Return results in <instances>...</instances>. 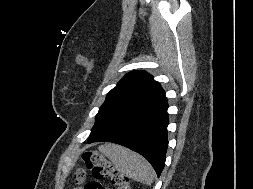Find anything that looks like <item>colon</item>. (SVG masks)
Here are the masks:
<instances>
[{"label": "colon", "instance_id": "obj_1", "mask_svg": "<svg viewBox=\"0 0 253 189\" xmlns=\"http://www.w3.org/2000/svg\"><path fill=\"white\" fill-rule=\"evenodd\" d=\"M82 157L93 176V180L86 183L84 189H105L102 180H109L114 189H132L129 178L117 171L113 163L99 152L86 151ZM84 178L83 170L75 173L77 182H83Z\"/></svg>", "mask_w": 253, "mask_h": 189}]
</instances>
